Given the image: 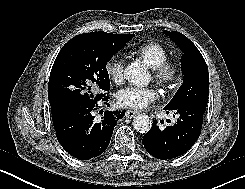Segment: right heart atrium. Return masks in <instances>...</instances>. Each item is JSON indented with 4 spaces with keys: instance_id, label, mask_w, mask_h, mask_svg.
<instances>
[{
    "instance_id": "d8ad5b80",
    "label": "right heart atrium",
    "mask_w": 245,
    "mask_h": 189,
    "mask_svg": "<svg viewBox=\"0 0 245 189\" xmlns=\"http://www.w3.org/2000/svg\"><path fill=\"white\" fill-rule=\"evenodd\" d=\"M105 71L115 83H121L124 78L123 59L119 56L110 58L105 64Z\"/></svg>"
}]
</instances>
